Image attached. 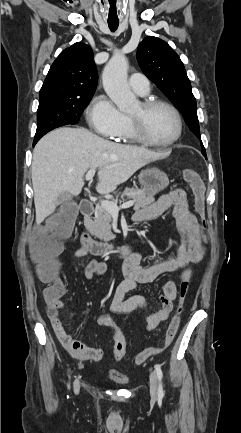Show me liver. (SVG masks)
Returning <instances> with one entry per match:
<instances>
[{
  "mask_svg": "<svg viewBox=\"0 0 241 433\" xmlns=\"http://www.w3.org/2000/svg\"><path fill=\"white\" fill-rule=\"evenodd\" d=\"M162 157L164 154L145 148L107 141L85 128L51 131L33 150L31 172L37 225L55 211L61 193H81L88 170L98 169L96 190L109 194L137 170Z\"/></svg>",
  "mask_w": 241,
  "mask_h": 433,
  "instance_id": "1",
  "label": "liver"
}]
</instances>
